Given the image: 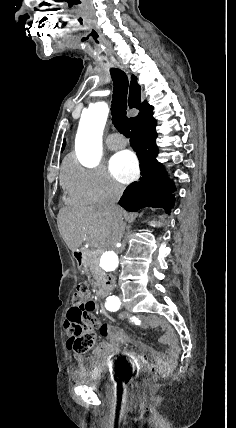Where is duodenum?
I'll list each match as a JSON object with an SVG mask.
<instances>
[{
    "instance_id": "1",
    "label": "duodenum",
    "mask_w": 236,
    "mask_h": 428,
    "mask_svg": "<svg viewBox=\"0 0 236 428\" xmlns=\"http://www.w3.org/2000/svg\"><path fill=\"white\" fill-rule=\"evenodd\" d=\"M73 258L78 266L79 269L83 268L84 265V255L83 251L81 249H76L73 251ZM114 278L112 276H106L103 279V282L101 286L99 287L97 291V296L99 298L108 299L112 296L113 290H114Z\"/></svg>"
}]
</instances>
